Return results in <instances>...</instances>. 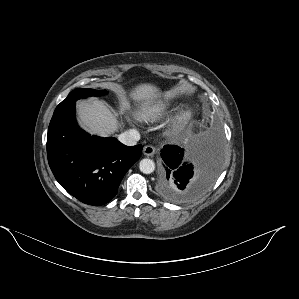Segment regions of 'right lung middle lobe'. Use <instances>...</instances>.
<instances>
[{"instance_id": "dd1d6c3e", "label": "right lung middle lobe", "mask_w": 299, "mask_h": 299, "mask_svg": "<svg viewBox=\"0 0 299 299\" xmlns=\"http://www.w3.org/2000/svg\"><path fill=\"white\" fill-rule=\"evenodd\" d=\"M107 93L108 92L105 90L98 91V90H94V89H84V88L75 89L72 92H70L69 95L67 96V98L65 100H63L57 106V108L55 109L54 112L75 103V101L80 98H86V97H90V96H104Z\"/></svg>"}]
</instances>
